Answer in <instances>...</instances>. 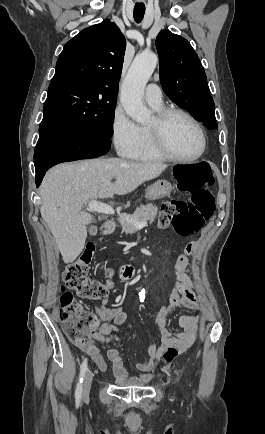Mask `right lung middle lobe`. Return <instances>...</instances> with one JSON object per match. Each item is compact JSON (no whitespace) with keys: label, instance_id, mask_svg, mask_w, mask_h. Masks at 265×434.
<instances>
[{"label":"right lung middle lobe","instance_id":"dd1d6c3e","mask_svg":"<svg viewBox=\"0 0 265 434\" xmlns=\"http://www.w3.org/2000/svg\"><path fill=\"white\" fill-rule=\"evenodd\" d=\"M118 89L103 81L67 77L52 80L41 123L79 134L110 138Z\"/></svg>","mask_w":265,"mask_h":434}]
</instances>
